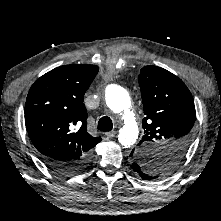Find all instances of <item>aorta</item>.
Listing matches in <instances>:
<instances>
[{
	"label": "aorta",
	"mask_w": 221,
	"mask_h": 221,
	"mask_svg": "<svg viewBox=\"0 0 221 221\" xmlns=\"http://www.w3.org/2000/svg\"><path fill=\"white\" fill-rule=\"evenodd\" d=\"M105 100L108 108L114 113H123L124 125L118 134V140L122 146L129 148L138 139V126L133 114L129 111L131 102L127 91L117 85H109L106 88Z\"/></svg>",
	"instance_id": "aorta-1"
}]
</instances>
